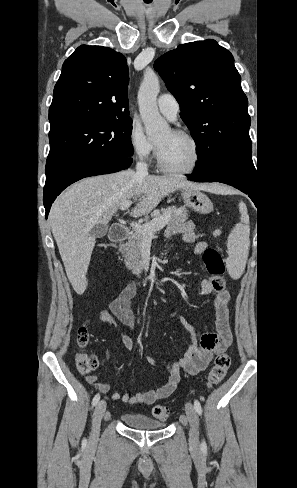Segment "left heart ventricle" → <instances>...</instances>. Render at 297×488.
Returning <instances> with one entry per match:
<instances>
[{
  "instance_id": "b2bd125f",
  "label": "left heart ventricle",
  "mask_w": 297,
  "mask_h": 488,
  "mask_svg": "<svg viewBox=\"0 0 297 488\" xmlns=\"http://www.w3.org/2000/svg\"><path fill=\"white\" fill-rule=\"evenodd\" d=\"M157 145L160 147L163 161L171 168L186 169L194 160L195 152L191 142L173 134L172 131L160 136Z\"/></svg>"
}]
</instances>
